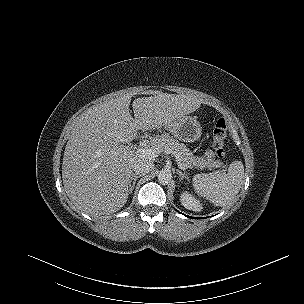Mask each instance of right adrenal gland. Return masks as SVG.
Wrapping results in <instances>:
<instances>
[{"mask_svg": "<svg viewBox=\"0 0 304 304\" xmlns=\"http://www.w3.org/2000/svg\"><path fill=\"white\" fill-rule=\"evenodd\" d=\"M140 177H141V175L134 174V173L132 174L131 179L129 181V193H132V191L135 187L136 181Z\"/></svg>", "mask_w": 304, "mask_h": 304, "instance_id": "1", "label": "right adrenal gland"}]
</instances>
